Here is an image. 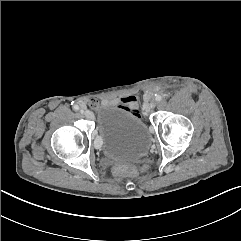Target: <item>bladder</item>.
Segmentation results:
<instances>
[{"label": "bladder", "mask_w": 241, "mask_h": 241, "mask_svg": "<svg viewBox=\"0 0 241 241\" xmlns=\"http://www.w3.org/2000/svg\"><path fill=\"white\" fill-rule=\"evenodd\" d=\"M96 133L101 150L113 160L139 159L147 154L151 144L142 119L114 103L99 109Z\"/></svg>", "instance_id": "bladder-1"}]
</instances>
